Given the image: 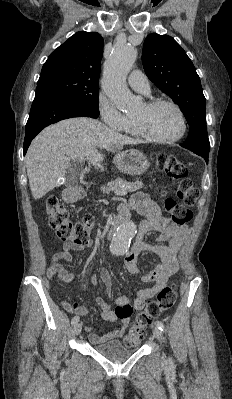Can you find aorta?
Segmentation results:
<instances>
[{"mask_svg": "<svg viewBox=\"0 0 232 399\" xmlns=\"http://www.w3.org/2000/svg\"><path fill=\"white\" fill-rule=\"evenodd\" d=\"M136 58L137 51L134 47L118 46L104 64L102 88L111 102L120 110H133L138 105V99L130 92L126 84V77ZM135 234L136 225L130 220L123 222L112 239L111 253L125 254Z\"/></svg>", "mask_w": 232, "mask_h": 399, "instance_id": "762f6f07", "label": "aorta"}]
</instances>
